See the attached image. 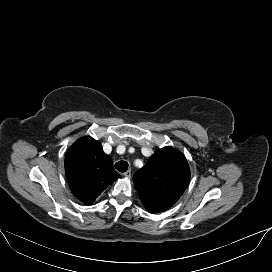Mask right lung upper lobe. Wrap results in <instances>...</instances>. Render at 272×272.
Wrapping results in <instances>:
<instances>
[{
	"label": "right lung upper lobe",
	"mask_w": 272,
	"mask_h": 272,
	"mask_svg": "<svg viewBox=\"0 0 272 272\" xmlns=\"http://www.w3.org/2000/svg\"><path fill=\"white\" fill-rule=\"evenodd\" d=\"M65 173L73 195L85 204L94 202L120 177L101 144L90 136L80 138L68 149Z\"/></svg>",
	"instance_id": "1"
}]
</instances>
